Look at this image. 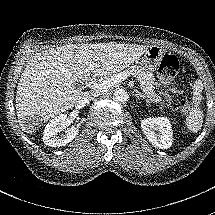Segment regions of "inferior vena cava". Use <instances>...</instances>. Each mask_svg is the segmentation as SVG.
I'll list each match as a JSON object with an SVG mask.
<instances>
[{"label":"inferior vena cava","mask_w":215,"mask_h":215,"mask_svg":"<svg viewBox=\"0 0 215 215\" xmlns=\"http://www.w3.org/2000/svg\"><path fill=\"white\" fill-rule=\"evenodd\" d=\"M105 90H97V91H87L84 92L82 95V98L80 100V103L83 105H87L92 99L99 97L102 93H104Z\"/></svg>","instance_id":"602c4592"}]
</instances>
